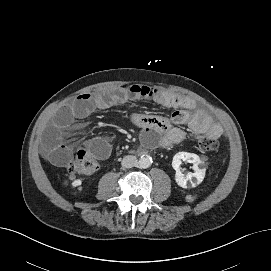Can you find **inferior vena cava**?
<instances>
[{
	"mask_svg": "<svg viewBox=\"0 0 271 271\" xmlns=\"http://www.w3.org/2000/svg\"><path fill=\"white\" fill-rule=\"evenodd\" d=\"M138 164L137 158L133 155L124 156L121 165L124 168H132Z\"/></svg>",
	"mask_w": 271,
	"mask_h": 271,
	"instance_id": "602c4592",
	"label": "inferior vena cava"
}]
</instances>
